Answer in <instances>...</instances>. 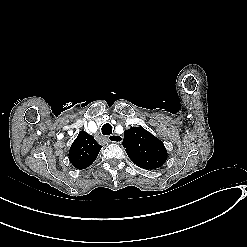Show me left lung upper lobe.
<instances>
[{
    "label": "left lung upper lobe",
    "mask_w": 247,
    "mask_h": 247,
    "mask_svg": "<svg viewBox=\"0 0 247 247\" xmlns=\"http://www.w3.org/2000/svg\"><path fill=\"white\" fill-rule=\"evenodd\" d=\"M123 147L133 163L146 170L159 168L167 160L163 142L143 127L126 130Z\"/></svg>",
    "instance_id": "left-lung-upper-lobe-1"
}]
</instances>
